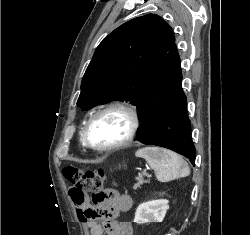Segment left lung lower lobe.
Masks as SVG:
<instances>
[{
  "instance_id": "0a47b994",
  "label": "left lung lower lobe",
  "mask_w": 250,
  "mask_h": 235,
  "mask_svg": "<svg viewBox=\"0 0 250 235\" xmlns=\"http://www.w3.org/2000/svg\"><path fill=\"white\" fill-rule=\"evenodd\" d=\"M180 58L175 44L154 75L139 103L138 141L171 149L195 165Z\"/></svg>"
}]
</instances>
